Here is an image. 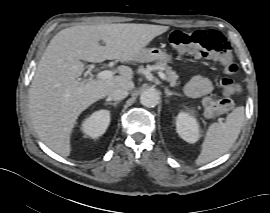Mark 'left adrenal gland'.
Listing matches in <instances>:
<instances>
[{
    "mask_svg": "<svg viewBox=\"0 0 270 213\" xmlns=\"http://www.w3.org/2000/svg\"><path fill=\"white\" fill-rule=\"evenodd\" d=\"M165 94H166V97H170L172 95H178L179 96V94L170 91L168 88H165Z\"/></svg>",
    "mask_w": 270,
    "mask_h": 213,
    "instance_id": "obj_1",
    "label": "left adrenal gland"
}]
</instances>
